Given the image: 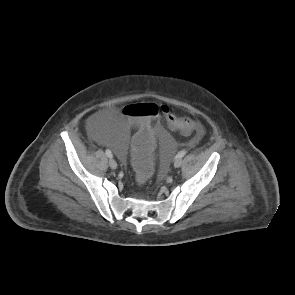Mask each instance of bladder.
I'll use <instances>...</instances> for the list:
<instances>
[{
	"label": "bladder",
	"mask_w": 295,
	"mask_h": 295,
	"mask_svg": "<svg viewBox=\"0 0 295 295\" xmlns=\"http://www.w3.org/2000/svg\"><path fill=\"white\" fill-rule=\"evenodd\" d=\"M153 130L160 141V147L164 149V155L160 157L156 169L157 176L163 179L168 176V170L172 165L171 157L175 156L178 150L164 122H157ZM81 133L86 140L101 143L112 157L121 158L130 151V131L125 126L120 127L115 115L109 111L89 115L81 126Z\"/></svg>",
	"instance_id": "obj_1"
}]
</instances>
